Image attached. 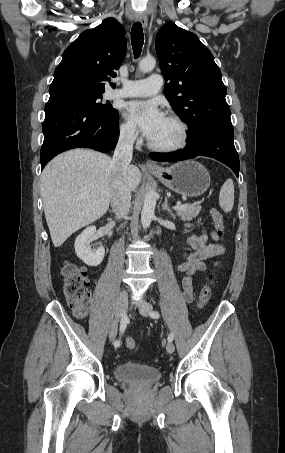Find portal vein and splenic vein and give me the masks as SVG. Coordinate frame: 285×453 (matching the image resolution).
Segmentation results:
<instances>
[{
  "mask_svg": "<svg viewBox=\"0 0 285 453\" xmlns=\"http://www.w3.org/2000/svg\"><path fill=\"white\" fill-rule=\"evenodd\" d=\"M186 207V205H182L181 203H177L173 208L175 210H179V209H184Z\"/></svg>",
  "mask_w": 285,
  "mask_h": 453,
  "instance_id": "1",
  "label": "portal vein and splenic vein"
}]
</instances>
